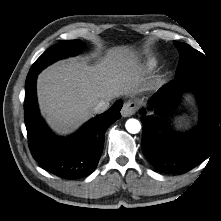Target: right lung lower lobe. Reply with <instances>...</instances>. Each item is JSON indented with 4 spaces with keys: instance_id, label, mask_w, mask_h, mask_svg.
Here are the masks:
<instances>
[{
    "instance_id": "98d812e1",
    "label": "right lung lower lobe",
    "mask_w": 221,
    "mask_h": 221,
    "mask_svg": "<svg viewBox=\"0 0 221 221\" xmlns=\"http://www.w3.org/2000/svg\"><path fill=\"white\" fill-rule=\"evenodd\" d=\"M36 77H27L25 124L33 158L47 171L64 179H78L91 174L100 159L107 128L121 117L122 101L86 123L76 134L55 136L41 118L36 99Z\"/></svg>"
}]
</instances>
